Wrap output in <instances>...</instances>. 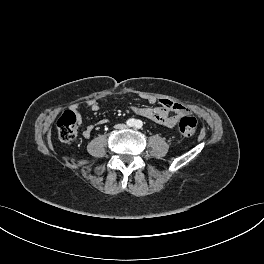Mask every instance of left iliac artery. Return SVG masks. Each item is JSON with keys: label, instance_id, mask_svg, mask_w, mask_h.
<instances>
[{"label": "left iliac artery", "instance_id": "obj_1", "mask_svg": "<svg viewBox=\"0 0 264 264\" xmlns=\"http://www.w3.org/2000/svg\"><path fill=\"white\" fill-rule=\"evenodd\" d=\"M143 124H142V121L141 120H137L136 123H135V127L140 129L142 128Z\"/></svg>", "mask_w": 264, "mask_h": 264}]
</instances>
